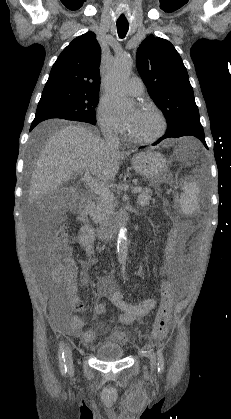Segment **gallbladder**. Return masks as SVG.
<instances>
[{"label":"gallbladder","mask_w":231,"mask_h":419,"mask_svg":"<svg viewBox=\"0 0 231 419\" xmlns=\"http://www.w3.org/2000/svg\"><path fill=\"white\" fill-rule=\"evenodd\" d=\"M64 193L65 192L61 188L51 191L43 198V204L52 210L60 201L63 200Z\"/></svg>","instance_id":"gallbladder-1"}]
</instances>
